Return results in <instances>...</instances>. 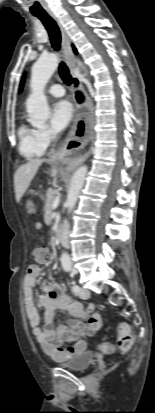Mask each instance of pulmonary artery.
I'll list each match as a JSON object with an SVG mask.
<instances>
[{
	"mask_svg": "<svg viewBox=\"0 0 155 413\" xmlns=\"http://www.w3.org/2000/svg\"><path fill=\"white\" fill-rule=\"evenodd\" d=\"M48 93L54 97H62L65 94V90L61 85L53 84L49 87Z\"/></svg>",
	"mask_w": 155,
	"mask_h": 413,
	"instance_id": "1",
	"label": "pulmonary artery"
}]
</instances>
